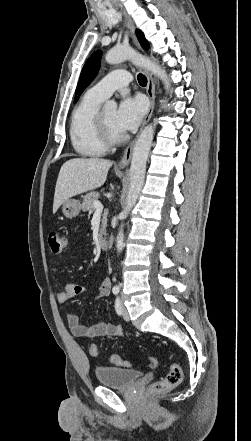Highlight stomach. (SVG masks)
I'll return each mask as SVG.
<instances>
[{
  "mask_svg": "<svg viewBox=\"0 0 251 441\" xmlns=\"http://www.w3.org/2000/svg\"><path fill=\"white\" fill-rule=\"evenodd\" d=\"M82 209L79 200L69 198L62 204V212L66 218L76 217Z\"/></svg>",
  "mask_w": 251,
  "mask_h": 441,
  "instance_id": "obj_1",
  "label": "stomach"
}]
</instances>
